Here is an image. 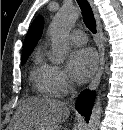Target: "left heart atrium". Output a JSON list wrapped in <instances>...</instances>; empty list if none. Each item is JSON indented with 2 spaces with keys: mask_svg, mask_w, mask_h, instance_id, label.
Masks as SVG:
<instances>
[{
  "mask_svg": "<svg viewBox=\"0 0 123 130\" xmlns=\"http://www.w3.org/2000/svg\"><path fill=\"white\" fill-rule=\"evenodd\" d=\"M97 67L96 53L90 48L75 50L69 59V68L72 76L78 82L87 81Z\"/></svg>",
  "mask_w": 123,
  "mask_h": 130,
  "instance_id": "39dd6f15",
  "label": "left heart atrium"
}]
</instances>
